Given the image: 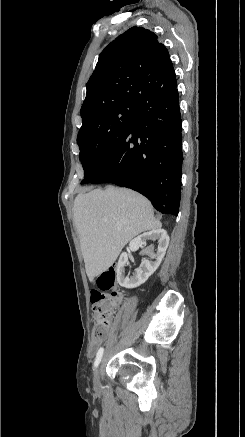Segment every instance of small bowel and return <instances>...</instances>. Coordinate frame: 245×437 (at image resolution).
<instances>
[{"label": "small bowel", "mask_w": 245, "mask_h": 437, "mask_svg": "<svg viewBox=\"0 0 245 437\" xmlns=\"http://www.w3.org/2000/svg\"><path fill=\"white\" fill-rule=\"evenodd\" d=\"M106 336H107V334L104 337H101V338H97V337L94 336L93 340H92V346L93 347H97L106 338Z\"/></svg>", "instance_id": "small-bowel-1"}]
</instances>
